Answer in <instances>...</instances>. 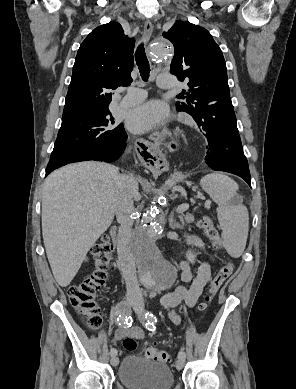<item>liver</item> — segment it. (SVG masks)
<instances>
[{
    "label": "liver",
    "mask_w": 296,
    "mask_h": 389,
    "mask_svg": "<svg viewBox=\"0 0 296 389\" xmlns=\"http://www.w3.org/2000/svg\"><path fill=\"white\" fill-rule=\"evenodd\" d=\"M119 170L86 161L52 172L42 195V234L54 278L68 286L88 251L109 228L115 214ZM134 179L133 197L140 199Z\"/></svg>",
    "instance_id": "1"
}]
</instances>
